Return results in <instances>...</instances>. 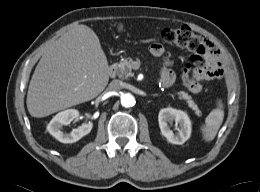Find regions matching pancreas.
<instances>
[{
  "mask_svg": "<svg viewBox=\"0 0 260 192\" xmlns=\"http://www.w3.org/2000/svg\"><path fill=\"white\" fill-rule=\"evenodd\" d=\"M132 61L133 60L130 57H128L116 64L115 71H116V75L119 78L126 80L129 77L134 75L132 73V68H131ZM177 95L180 100H184L188 104V106L195 111V114L197 116L201 115V111L199 110L198 106L194 103L192 98L187 93H185L184 91H180L177 92Z\"/></svg>",
  "mask_w": 260,
  "mask_h": 192,
  "instance_id": "cf45deb5",
  "label": "pancreas"
}]
</instances>
